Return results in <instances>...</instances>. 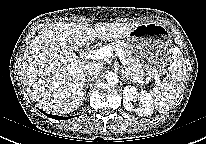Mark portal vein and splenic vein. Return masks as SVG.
Listing matches in <instances>:
<instances>
[{
    "label": "portal vein and splenic vein",
    "instance_id": "portal-vein-and-splenic-vein-1",
    "mask_svg": "<svg viewBox=\"0 0 206 144\" xmlns=\"http://www.w3.org/2000/svg\"><path fill=\"white\" fill-rule=\"evenodd\" d=\"M113 51H115L120 59V61L124 64L125 63V59L124 56L122 54V51L119 48H115L113 49L111 46L107 45V46H103L99 49H95V50H91L89 52H85L84 56L90 59H95V60H102L104 58H109L112 56ZM136 81H140L139 77H134L133 78ZM155 83L156 85H160V80L157 76H155Z\"/></svg>",
    "mask_w": 206,
    "mask_h": 144
}]
</instances>
